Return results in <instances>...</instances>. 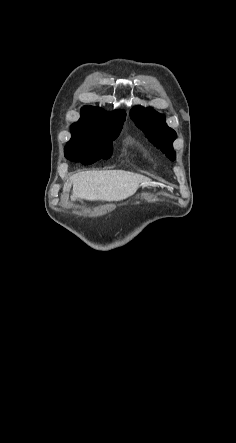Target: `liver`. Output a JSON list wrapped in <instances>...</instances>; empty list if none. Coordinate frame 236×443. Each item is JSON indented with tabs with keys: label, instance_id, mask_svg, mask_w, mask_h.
Listing matches in <instances>:
<instances>
[{
	"label": "liver",
	"instance_id": "obj_1",
	"mask_svg": "<svg viewBox=\"0 0 236 443\" xmlns=\"http://www.w3.org/2000/svg\"><path fill=\"white\" fill-rule=\"evenodd\" d=\"M149 181L143 175L123 170L86 171L73 175L63 191H69L73 185L72 201H121L134 194L141 183Z\"/></svg>",
	"mask_w": 236,
	"mask_h": 443
}]
</instances>
